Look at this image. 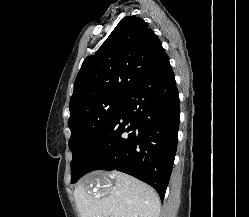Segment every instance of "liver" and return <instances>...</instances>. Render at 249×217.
I'll return each instance as SVG.
<instances>
[{
    "label": "liver",
    "mask_w": 249,
    "mask_h": 217,
    "mask_svg": "<svg viewBox=\"0 0 249 217\" xmlns=\"http://www.w3.org/2000/svg\"><path fill=\"white\" fill-rule=\"evenodd\" d=\"M110 180H115L113 185ZM78 185L74 197L80 217H159L160 200L150 186L122 172H94Z\"/></svg>",
    "instance_id": "liver-1"
}]
</instances>
